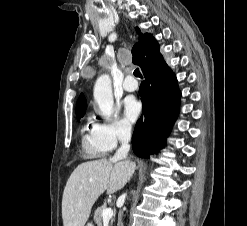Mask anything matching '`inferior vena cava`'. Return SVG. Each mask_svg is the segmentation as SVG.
<instances>
[{"instance_id": "inferior-vena-cava-1", "label": "inferior vena cava", "mask_w": 247, "mask_h": 226, "mask_svg": "<svg viewBox=\"0 0 247 226\" xmlns=\"http://www.w3.org/2000/svg\"><path fill=\"white\" fill-rule=\"evenodd\" d=\"M118 139L121 142L120 148L116 151L113 159H126L130 149L129 141L131 139V128L129 126H122L118 130Z\"/></svg>"}]
</instances>
